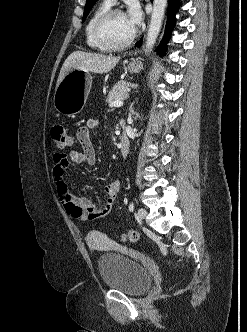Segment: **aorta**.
Returning a JSON list of instances; mask_svg holds the SVG:
<instances>
[{
  "instance_id": "762f6f07",
  "label": "aorta",
  "mask_w": 247,
  "mask_h": 332,
  "mask_svg": "<svg viewBox=\"0 0 247 332\" xmlns=\"http://www.w3.org/2000/svg\"><path fill=\"white\" fill-rule=\"evenodd\" d=\"M167 0H154L151 22L146 38V52L150 51L159 35Z\"/></svg>"
}]
</instances>
